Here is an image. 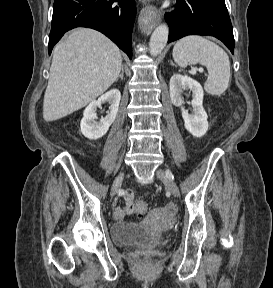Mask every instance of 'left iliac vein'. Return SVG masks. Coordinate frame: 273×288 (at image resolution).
Listing matches in <instances>:
<instances>
[{
  "mask_svg": "<svg viewBox=\"0 0 273 288\" xmlns=\"http://www.w3.org/2000/svg\"><path fill=\"white\" fill-rule=\"evenodd\" d=\"M156 177L165 184V186L173 194V196H175V197L179 196L178 186L174 183L172 178H170V176H169V174H167V172H165L162 169H158L156 171Z\"/></svg>",
  "mask_w": 273,
  "mask_h": 288,
  "instance_id": "1",
  "label": "left iliac vein"
}]
</instances>
